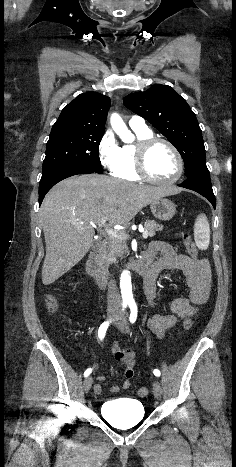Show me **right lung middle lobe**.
<instances>
[{"label":"right lung middle lobe","instance_id":"right-lung-middle-lobe-1","mask_svg":"<svg viewBox=\"0 0 236 467\" xmlns=\"http://www.w3.org/2000/svg\"><path fill=\"white\" fill-rule=\"evenodd\" d=\"M103 134L104 131L52 128L43 170L62 164H76L103 173L99 159Z\"/></svg>","mask_w":236,"mask_h":467}]
</instances>
